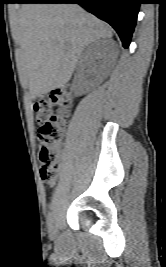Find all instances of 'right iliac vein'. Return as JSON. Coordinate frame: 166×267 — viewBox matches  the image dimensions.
I'll return each instance as SVG.
<instances>
[{
	"mask_svg": "<svg viewBox=\"0 0 166 267\" xmlns=\"http://www.w3.org/2000/svg\"><path fill=\"white\" fill-rule=\"evenodd\" d=\"M57 236V228L55 225L49 227V237L50 239H55Z\"/></svg>",
	"mask_w": 166,
	"mask_h": 267,
	"instance_id": "1",
	"label": "right iliac vein"
}]
</instances>
